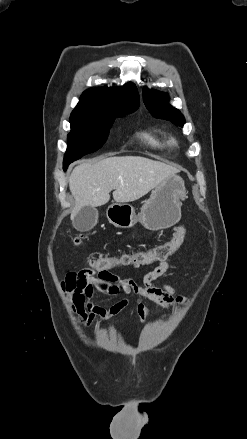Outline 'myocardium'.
Returning a JSON list of instances; mask_svg holds the SVG:
<instances>
[{
    "label": "myocardium",
    "instance_id": "myocardium-1",
    "mask_svg": "<svg viewBox=\"0 0 247 439\" xmlns=\"http://www.w3.org/2000/svg\"><path fill=\"white\" fill-rule=\"evenodd\" d=\"M168 142L171 146H177V141L174 138H170Z\"/></svg>",
    "mask_w": 247,
    "mask_h": 439
}]
</instances>
